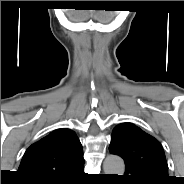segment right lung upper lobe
Listing matches in <instances>:
<instances>
[{
	"mask_svg": "<svg viewBox=\"0 0 184 184\" xmlns=\"http://www.w3.org/2000/svg\"><path fill=\"white\" fill-rule=\"evenodd\" d=\"M83 167V149L77 135L61 128L26 150L18 172L30 182H60L72 178Z\"/></svg>",
	"mask_w": 184,
	"mask_h": 184,
	"instance_id": "1",
	"label": "right lung upper lobe"
}]
</instances>
